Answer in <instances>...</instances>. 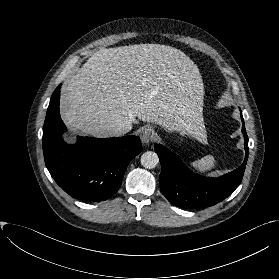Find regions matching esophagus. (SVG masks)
Masks as SVG:
<instances>
[{"label":"esophagus","mask_w":279,"mask_h":279,"mask_svg":"<svg viewBox=\"0 0 279 279\" xmlns=\"http://www.w3.org/2000/svg\"><path fill=\"white\" fill-rule=\"evenodd\" d=\"M140 137L143 143L148 144L156 139V133L153 128L146 126L141 131Z\"/></svg>","instance_id":"34e87169"}]
</instances>
